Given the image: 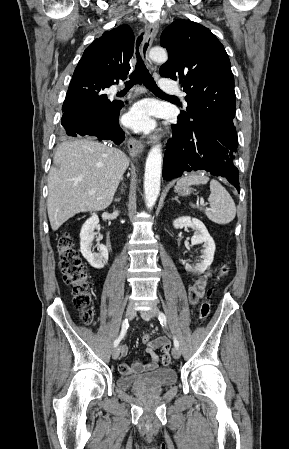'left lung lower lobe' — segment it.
<instances>
[{"mask_svg": "<svg viewBox=\"0 0 289 449\" xmlns=\"http://www.w3.org/2000/svg\"><path fill=\"white\" fill-rule=\"evenodd\" d=\"M175 127L177 131L168 141L164 155L163 179L180 177L184 171L204 170L226 178L240 192L239 171L234 165L236 130L218 122L186 123L179 118Z\"/></svg>", "mask_w": 289, "mask_h": 449, "instance_id": "left-lung-lower-lobe-1", "label": "left lung lower lobe"}]
</instances>
